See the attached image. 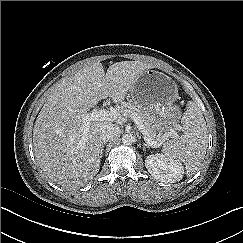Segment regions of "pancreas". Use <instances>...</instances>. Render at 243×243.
I'll return each instance as SVG.
<instances>
[{
    "label": "pancreas",
    "instance_id": "cf45deb5",
    "mask_svg": "<svg viewBox=\"0 0 243 243\" xmlns=\"http://www.w3.org/2000/svg\"><path fill=\"white\" fill-rule=\"evenodd\" d=\"M119 112L126 117H129L134 113L137 117H139L141 123L143 124L147 137L152 140H158V137L153 127V123L146 111H143L142 109L138 108L133 103L123 102L121 104Z\"/></svg>",
    "mask_w": 243,
    "mask_h": 243
}]
</instances>
